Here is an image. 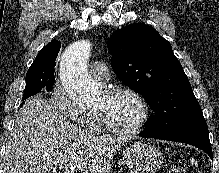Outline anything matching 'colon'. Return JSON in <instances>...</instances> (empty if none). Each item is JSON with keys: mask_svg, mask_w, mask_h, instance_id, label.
I'll return each mask as SVG.
<instances>
[{"mask_svg": "<svg viewBox=\"0 0 219 173\" xmlns=\"http://www.w3.org/2000/svg\"><path fill=\"white\" fill-rule=\"evenodd\" d=\"M170 173H188V172L182 167H175L170 171Z\"/></svg>", "mask_w": 219, "mask_h": 173, "instance_id": "5ec220e1", "label": "colon"}]
</instances>
